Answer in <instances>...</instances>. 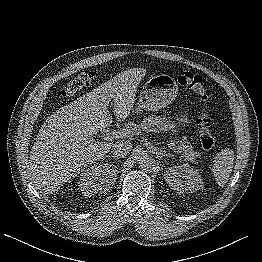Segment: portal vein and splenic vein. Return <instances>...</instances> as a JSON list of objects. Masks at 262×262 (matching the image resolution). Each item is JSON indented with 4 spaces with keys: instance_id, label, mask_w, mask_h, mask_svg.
<instances>
[{
    "instance_id": "18ae733b",
    "label": "portal vein and splenic vein",
    "mask_w": 262,
    "mask_h": 262,
    "mask_svg": "<svg viewBox=\"0 0 262 262\" xmlns=\"http://www.w3.org/2000/svg\"><path fill=\"white\" fill-rule=\"evenodd\" d=\"M133 134L132 130L123 129L119 131H111L108 133L103 134V138L107 141H111L113 139L121 138L127 135ZM173 150H175L177 153H182V151L177 150L175 147H172ZM183 154V153H182Z\"/></svg>"
}]
</instances>
